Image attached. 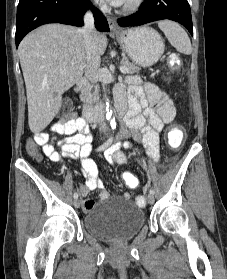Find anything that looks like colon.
Listing matches in <instances>:
<instances>
[{
  "label": "colon",
  "instance_id": "5ec220e1",
  "mask_svg": "<svg viewBox=\"0 0 227 279\" xmlns=\"http://www.w3.org/2000/svg\"><path fill=\"white\" fill-rule=\"evenodd\" d=\"M71 108H72V104L70 102L63 103L64 117L68 116V114L71 111ZM169 140L173 145L178 146L181 144V142L183 140V135L178 131L171 130L169 132ZM26 149L30 156L34 157L35 159H40L38 147L34 142L29 141L26 145ZM122 180H123L124 184L130 188H135L139 184L138 177L135 174L130 173V172L123 173ZM142 201H144V198L142 195H139L136 199V203L138 205H140V204H142Z\"/></svg>",
  "mask_w": 227,
  "mask_h": 279
}]
</instances>
